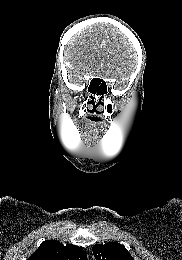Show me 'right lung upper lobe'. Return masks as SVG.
<instances>
[{"mask_svg": "<svg viewBox=\"0 0 182 260\" xmlns=\"http://www.w3.org/2000/svg\"><path fill=\"white\" fill-rule=\"evenodd\" d=\"M27 260H87V256L80 247L47 240Z\"/></svg>", "mask_w": 182, "mask_h": 260, "instance_id": "1", "label": "right lung upper lobe"}]
</instances>
